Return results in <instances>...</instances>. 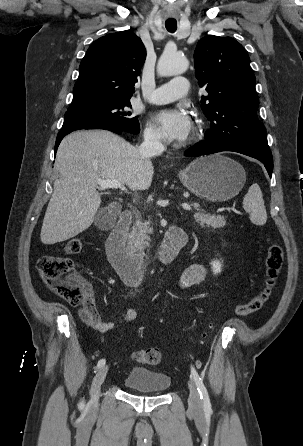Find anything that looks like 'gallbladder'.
Instances as JSON below:
<instances>
[{
  "mask_svg": "<svg viewBox=\"0 0 303 446\" xmlns=\"http://www.w3.org/2000/svg\"><path fill=\"white\" fill-rule=\"evenodd\" d=\"M114 217L107 213V210L103 209L99 211L95 216V224L100 228H106L108 223H113Z\"/></svg>",
  "mask_w": 303,
  "mask_h": 446,
  "instance_id": "bac80fb5",
  "label": "gallbladder"
}]
</instances>
